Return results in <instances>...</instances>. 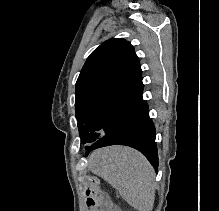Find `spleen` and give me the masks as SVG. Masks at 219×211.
Instances as JSON below:
<instances>
[{
	"label": "spleen",
	"mask_w": 219,
	"mask_h": 211,
	"mask_svg": "<svg viewBox=\"0 0 219 211\" xmlns=\"http://www.w3.org/2000/svg\"><path fill=\"white\" fill-rule=\"evenodd\" d=\"M88 165L93 173L111 183L134 209L152 211L155 171L143 153L127 145H110L95 149Z\"/></svg>",
	"instance_id": "3e777b00"
}]
</instances>
